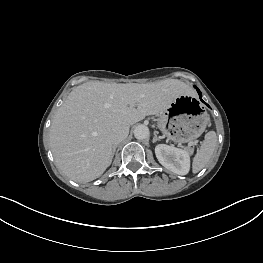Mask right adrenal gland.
Here are the masks:
<instances>
[{"label":"right adrenal gland","mask_w":263,"mask_h":263,"mask_svg":"<svg viewBox=\"0 0 263 263\" xmlns=\"http://www.w3.org/2000/svg\"><path fill=\"white\" fill-rule=\"evenodd\" d=\"M118 147V144L114 147V149H113V155H114V153L116 152V148Z\"/></svg>","instance_id":"1"}]
</instances>
